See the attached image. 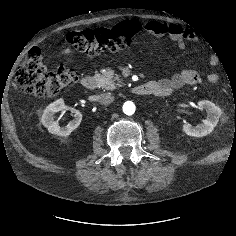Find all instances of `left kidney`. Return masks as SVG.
<instances>
[{"mask_svg":"<svg viewBox=\"0 0 236 236\" xmlns=\"http://www.w3.org/2000/svg\"><path fill=\"white\" fill-rule=\"evenodd\" d=\"M198 106L207 111L206 119L203 120L202 124L196 126H192L191 124L183 125V131L193 137H203L210 134L217 126L219 118L222 115V110L211 101H199Z\"/></svg>","mask_w":236,"mask_h":236,"instance_id":"1","label":"left kidney"}]
</instances>
